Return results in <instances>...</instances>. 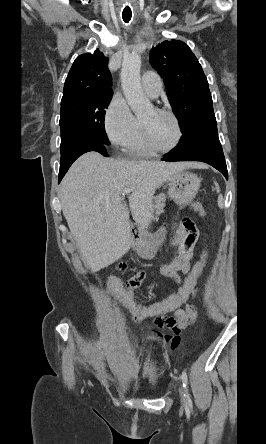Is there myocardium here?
Instances as JSON below:
<instances>
[{
    "instance_id": "myocardium-1",
    "label": "myocardium",
    "mask_w": 266,
    "mask_h": 444,
    "mask_svg": "<svg viewBox=\"0 0 266 444\" xmlns=\"http://www.w3.org/2000/svg\"><path fill=\"white\" fill-rule=\"evenodd\" d=\"M154 110L159 114L167 115L173 119L175 126H176V130H177V136H176L174 143L169 148H166V149L159 148L151 140L145 124L142 121H140V127H141V132H142L144 143L147 146V148L150 149L154 153H157V154L169 153V152L175 150L180 145V143L182 141L183 130H182L181 122H180L178 116L174 112H172L171 110H168L165 108H154Z\"/></svg>"
}]
</instances>
